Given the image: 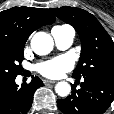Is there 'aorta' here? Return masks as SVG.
<instances>
[{"instance_id":"obj_1","label":"aorta","mask_w":114,"mask_h":114,"mask_svg":"<svg viewBox=\"0 0 114 114\" xmlns=\"http://www.w3.org/2000/svg\"><path fill=\"white\" fill-rule=\"evenodd\" d=\"M53 39L45 32L36 33L31 39V48L38 55H46L53 49ZM56 93L65 97L68 96L71 91V86L65 81L58 82L55 86Z\"/></svg>"}]
</instances>
